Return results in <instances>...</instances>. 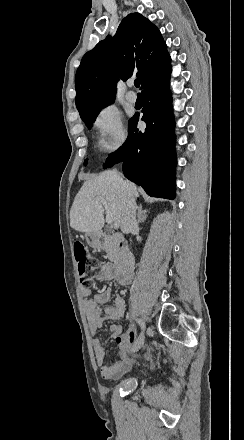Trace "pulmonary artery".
Returning a JSON list of instances; mask_svg holds the SVG:
<instances>
[{
    "label": "pulmonary artery",
    "instance_id": "1",
    "mask_svg": "<svg viewBox=\"0 0 244 440\" xmlns=\"http://www.w3.org/2000/svg\"><path fill=\"white\" fill-rule=\"evenodd\" d=\"M126 99L130 102V103H134L137 99L136 94L132 91L128 92L126 94Z\"/></svg>",
    "mask_w": 244,
    "mask_h": 440
}]
</instances>
